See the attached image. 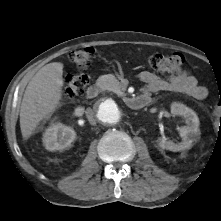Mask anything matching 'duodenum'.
Listing matches in <instances>:
<instances>
[{
  "instance_id": "410a0bca",
  "label": "duodenum",
  "mask_w": 221,
  "mask_h": 221,
  "mask_svg": "<svg viewBox=\"0 0 221 221\" xmlns=\"http://www.w3.org/2000/svg\"><path fill=\"white\" fill-rule=\"evenodd\" d=\"M99 91L100 86L98 84H93L87 89L86 96L89 99H93L99 94ZM126 101L131 108L140 109L151 102V97L148 94H143L135 97H129Z\"/></svg>"
}]
</instances>
